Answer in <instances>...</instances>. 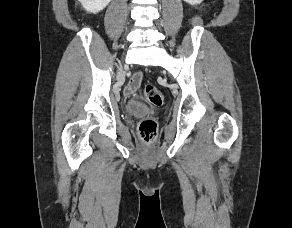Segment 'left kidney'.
<instances>
[{"label":"left kidney","instance_id":"left-kidney-1","mask_svg":"<svg viewBox=\"0 0 292 228\" xmlns=\"http://www.w3.org/2000/svg\"><path fill=\"white\" fill-rule=\"evenodd\" d=\"M184 1L191 5H197L200 4L203 0H184Z\"/></svg>","mask_w":292,"mask_h":228}]
</instances>
